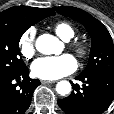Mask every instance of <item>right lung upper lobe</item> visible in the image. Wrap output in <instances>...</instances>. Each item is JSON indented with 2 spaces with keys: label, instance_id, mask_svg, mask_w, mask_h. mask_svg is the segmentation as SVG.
Listing matches in <instances>:
<instances>
[{
  "label": "right lung upper lobe",
  "instance_id": "1",
  "mask_svg": "<svg viewBox=\"0 0 114 114\" xmlns=\"http://www.w3.org/2000/svg\"><path fill=\"white\" fill-rule=\"evenodd\" d=\"M52 15H55V12L51 8L15 6L0 13V23H24L32 26Z\"/></svg>",
  "mask_w": 114,
  "mask_h": 114
}]
</instances>
